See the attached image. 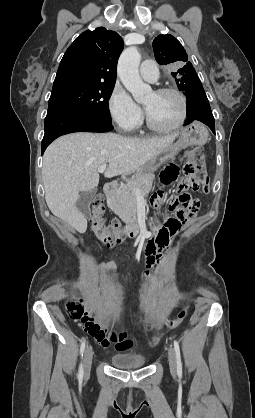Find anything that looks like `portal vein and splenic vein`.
Listing matches in <instances>:
<instances>
[{
	"label": "portal vein and splenic vein",
	"mask_w": 255,
	"mask_h": 418,
	"mask_svg": "<svg viewBox=\"0 0 255 418\" xmlns=\"http://www.w3.org/2000/svg\"><path fill=\"white\" fill-rule=\"evenodd\" d=\"M105 170H106V164L101 165V166H100V167H98V169H97V171H98L99 173H103ZM134 191H135V193H136V194H139V193H140V190H139V189H134Z\"/></svg>",
	"instance_id": "obj_1"
}]
</instances>
